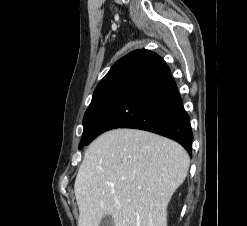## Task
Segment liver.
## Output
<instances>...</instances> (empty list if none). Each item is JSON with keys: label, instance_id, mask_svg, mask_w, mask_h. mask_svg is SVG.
<instances>
[{"label": "liver", "instance_id": "obj_1", "mask_svg": "<svg viewBox=\"0 0 247 226\" xmlns=\"http://www.w3.org/2000/svg\"><path fill=\"white\" fill-rule=\"evenodd\" d=\"M190 158L178 143L136 129H114L85 152L74 192L78 226H167V206L186 178Z\"/></svg>", "mask_w": 247, "mask_h": 226}]
</instances>
